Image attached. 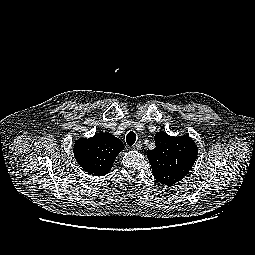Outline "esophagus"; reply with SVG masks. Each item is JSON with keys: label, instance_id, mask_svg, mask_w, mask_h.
I'll list each match as a JSON object with an SVG mask.
<instances>
[{"label": "esophagus", "instance_id": "34e87169", "mask_svg": "<svg viewBox=\"0 0 255 255\" xmlns=\"http://www.w3.org/2000/svg\"><path fill=\"white\" fill-rule=\"evenodd\" d=\"M141 147H142L141 141H137V142L132 146V149H133V150H140Z\"/></svg>", "mask_w": 255, "mask_h": 255}]
</instances>
